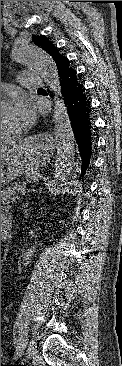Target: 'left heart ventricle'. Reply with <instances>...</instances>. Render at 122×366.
<instances>
[{
    "label": "left heart ventricle",
    "instance_id": "obj_1",
    "mask_svg": "<svg viewBox=\"0 0 122 366\" xmlns=\"http://www.w3.org/2000/svg\"><path fill=\"white\" fill-rule=\"evenodd\" d=\"M18 120L12 110V104L1 107V138L15 136Z\"/></svg>",
    "mask_w": 122,
    "mask_h": 366
}]
</instances>
